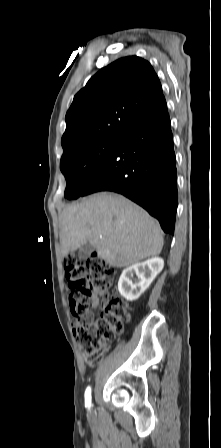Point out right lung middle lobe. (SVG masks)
Instances as JSON below:
<instances>
[{"mask_svg": "<svg viewBox=\"0 0 221 448\" xmlns=\"http://www.w3.org/2000/svg\"><path fill=\"white\" fill-rule=\"evenodd\" d=\"M117 139L118 136L87 142L62 156L60 169L67 181L65 198L77 199L82 196L88 183L110 155Z\"/></svg>", "mask_w": 221, "mask_h": 448, "instance_id": "1", "label": "right lung middle lobe"}]
</instances>
